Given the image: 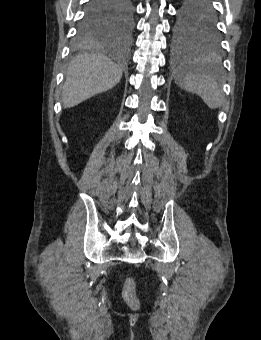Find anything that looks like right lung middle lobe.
<instances>
[{"label":"right lung middle lobe","instance_id":"obj_1","mask_svg":"<svg viewBox=\"0 0 261 340\" xmlns=\"http://www.w3.org/2000/svg\"><path fill=\"white\" fill-rule=\"evenodd\" d=\"M133 27V6L130 0L116 16L95 15L84 17L79 25L75 44L86 45L96 41L111 39L127 40Z\"/></svg>","mask_w":261,"mask_h":340}]
</instances>
